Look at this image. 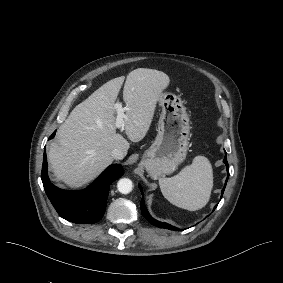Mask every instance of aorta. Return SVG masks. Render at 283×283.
Listing matches in <instances>:
<instances>
[{
  "label": "aorta",
  "mask_w": 283,
  "mask_h": 283,
  "mask_svg": "<svg viewBox=\"0 0 283 283\" xmlns=\"http://www.w3.org/2000/svg\"><path fill=\"white\" fill-rule=\"evenodd\" d=\"M132 181L128 178H122L117 183L118 191L122 194H128L132 191Z\"/></svg>",
  "instance_id": "1"
}]
</instances>
